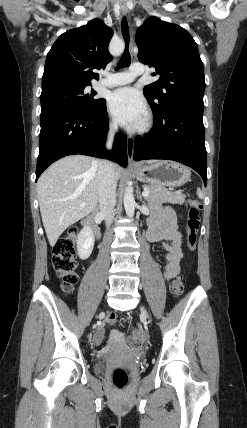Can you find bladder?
<instances>
[{"label": "bladder", "mask_w": 247, "mask_h": 428, "mask_svg": "<svg viewBox=\"0 0 247 428\" xmlns=\"http://www.w3.org/2000/svg\"><path fill=\"white\" fill-rule=\"evenodd\" d=\"M95 371L96 373H102L104 371L105 368V363L103 359H98L95 363Z\"/></svg>", "instance_id": "bladder-1"}]
</instances>
